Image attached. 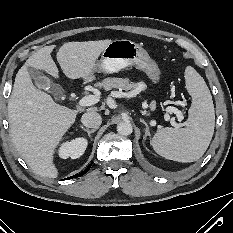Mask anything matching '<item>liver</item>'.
<instances>
[{"label": "liver", "mask_w": 233, "mask_h": 233, "mask_svg": "<svg viewBox=\"0 0 233 233\" xmlns=\"http://www.w3.org/2000/svg\"><path fill=\"white\" fill-rule=\"evenodd\" d=\"M110 42L106 39L65 43L57 52V61L68 78H91L98 57ZM54 48L46 46L26 60L16 74L8 101V121L16 150L34 173L50 178L58 175L53 162L55 150L80 112L57 104L32 83L28 67L59 78L51 57ZM96 110L97 107H91L87 111Z\"/></svg>", "instance_id": "liver-1"}]
</instances>
